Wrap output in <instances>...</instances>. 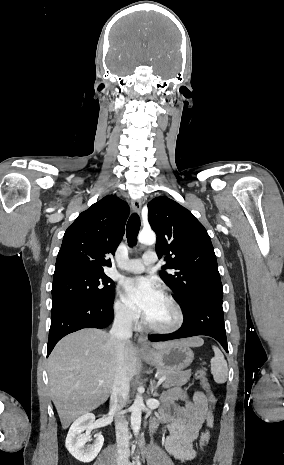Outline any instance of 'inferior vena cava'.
Returning <instances> with one entry per match:
<instances>
[{"label": "inferior vena cava", "mask_w": 284, "mask_h": 465, "mask_svg": "<svg viewBox=\"0 0 284 465\" xmlns=\"http://www.w3.org/2000/svg\"><path fill=\"white\" fill-rule=\"evenodd\" d=\"M133 315L131 313H120L116 315L113 327L110 331L111 337L118 341L117 347V369L113 383L110 399V413L115 415L116 443H117V465H129V431L128 423L122 411L128 399L130 385L127 373L123 367V343L132 337Z\"/></svg>", "instance_id": "inferior-vena-cava-1"}]
</instances>
